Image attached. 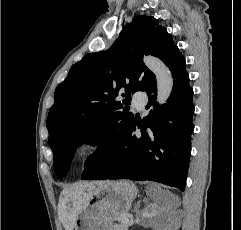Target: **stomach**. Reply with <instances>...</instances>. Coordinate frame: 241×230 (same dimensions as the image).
Listing matches in <instances>:
<instances>
[{
    "mask_svg": "<svg viewBox=\"0 0 241 230\" xmlns=\"http://www.w3.org/2000/svg\"><path fill=\"white\" fill-rule=\"evenodd\" d=\"M136 195V188L126 181L96 183L74 230H113L114 221L128 213Z\"/></svg>",
    "mask_w": 241,
    "mask_h": 230,
    "instance_id": "0dacf381",
    "label": "stomach"
}]
</instances>
